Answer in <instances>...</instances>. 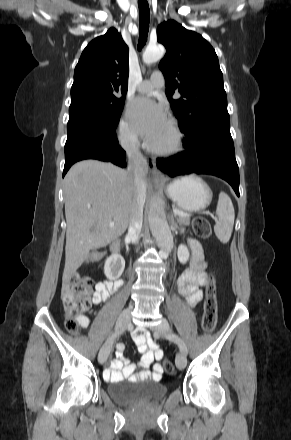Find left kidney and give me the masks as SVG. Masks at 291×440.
Instances as JSON below:
<instances>
[{
  "label": "left kidney",
  "instance_id": "1",
  "mask_svg": "<svg viewBox=\"0 0 291 440\" xmlns=\"http://www.w3.org/2000/svg\"><path fill=\"white\" fill-rule=\"evenodd\" d=\"M178 259L182 264H185L189 260V251L187 246L184 244H181L178 247Z\"/></svg>",
  "mask_w": 291,
  "mask_h": 440
}]
</instances>
